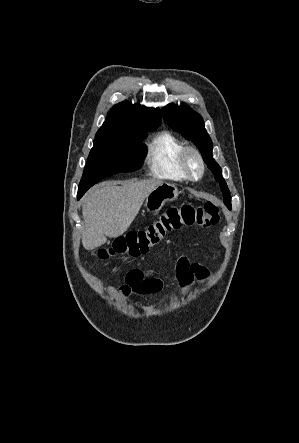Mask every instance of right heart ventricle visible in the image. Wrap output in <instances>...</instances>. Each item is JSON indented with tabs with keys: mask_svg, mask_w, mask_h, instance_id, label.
Here are the masks:
<instances>
[{
	"mask_svg": "<svg viewBox=\"0 0 299 443\" xmlns=\"http://www.w3.org/2000/svg\"><path fill=\"white\" fill-rule=\"evenodd\" d=\"M186 143L170 131L157 134L148 146L147 165L150 173L158 178L186 180L180 158Z\"/></svg>",
	"mask_w": 299,
	"mask_h": 443,
	"instance_id": "obj_1",
	"label": "right heart ventricle"
}]
</instances>
